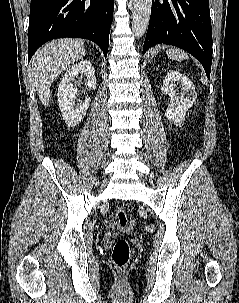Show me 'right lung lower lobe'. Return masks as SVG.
I'll return each instance as SVG.
<instances>
[{"label": "right lung lower lobe", "mask_w": 239, "mask_h": 303, "mask_svg": "<svg viewBox=\"0 0 239 303\" xmlns=\"http://www.w3.org/2000/svg\"><path fill=\"white\" fill-rule=\"evenodd\" d=\"M113 7L114 0H31L29 60L45 42L65 37L89 39L106 57Z\"/></svg>", "instance_id": "obj_1"}]
</instances>
